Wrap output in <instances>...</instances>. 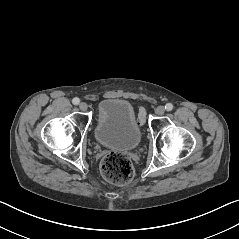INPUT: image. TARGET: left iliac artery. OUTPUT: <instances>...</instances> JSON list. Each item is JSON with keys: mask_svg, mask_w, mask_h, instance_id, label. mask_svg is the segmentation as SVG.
<instances>
[{"mask_svg": "<svg viewBox=\"0 0 239 239\" xmlns=\"http://www.w3.org/2000/svg\"><path fill=\"white\" fill-rule=\"evenodd\" d=\"M165 109H166L167 111H171V110L173 109V105H172L171 103H167V104L165 105Z\"/></svg>", "mask_w": 239, "mask_h": 239, "instance_id": "1", "label": "left iliac artery"}]
</instances>
